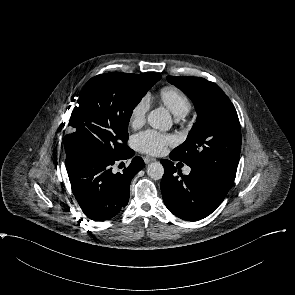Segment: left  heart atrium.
<instances>
[{
	"label": "left heart atrium",
	"mask_w": 295,
	"mask_h": 295,
	"mask_svg": "<svg viewBox=\"0 0 295 295\" xmlns=\"http://www.w3.org/2000/svg\"><path fill=\"white\" fill-rule=\"evenodd\" d=\"M174 142L171 135L155 130H146L134 137V145L142 153L160 155L165 152L166 147Z\"/></svg>",
	"instance_id": "39dd6f15"
}]
</instances>
